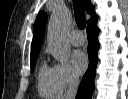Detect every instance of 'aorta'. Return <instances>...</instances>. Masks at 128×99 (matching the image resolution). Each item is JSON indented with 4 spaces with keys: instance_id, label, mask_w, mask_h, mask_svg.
<instances>
[{
    "instance_id": "1",
    "label": "aorta",
    "mask_w": 128,
    "mask_h": 99,
    "mask_svg": "<svg viewBox=\"0 0 128 99\" xmlns=\"http://www.w3.org/2000/svg\"><path fill=\"white\" fill-rule=\"evenodd\" d=\"M69 20V11L66 8H58L52 13L48 25V45L55 59L62 63L70 57V45L66 37Z\"/></svg>"
}]
</instances>
